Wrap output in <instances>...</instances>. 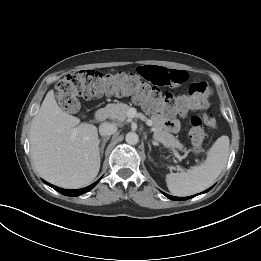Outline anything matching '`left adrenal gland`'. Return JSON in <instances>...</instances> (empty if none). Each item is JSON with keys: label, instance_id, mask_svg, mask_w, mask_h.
I'll list each match as a JSON object with an SVG mask.
<instances>
[{"label": "left adrenal gland", "instance_id": "obj_1", "mask_svg": "<svg viewBox=\"0 0 261 261\" xmlns=\"http://www.w3.org/2000/svg\"><path fill=\"white\" fill-rule=\"evenodd\" d=\"M148 147H149V151H151V144L148 143ZM148 158L150 161H153V159L151 158L150 154L148 153Z\"/></svg>", "mask_w": 261, "mask_h": 261}]
</instances>
